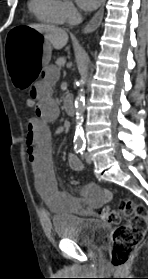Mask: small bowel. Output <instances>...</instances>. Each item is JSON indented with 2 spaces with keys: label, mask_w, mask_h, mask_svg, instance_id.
Returning a JSON list of instances; mask_svg holds the SVG:
<instances>
[{
  "label": "small bowel",
  "mask_w": 148,
  "mask_h": 279,
  "mask_svg": "<svg viewBox=\"0 0 148 279\" xmlns=\"http://www.w3.org/2000/svg\"><path fill=\"white\" fill-rule=\"evenodd\" d=\"M59 77L55 67L49 66L41 71L40 80L31 87L30 95L36 99L34 116L27 126L26 149L35 175L37 190L44 197L51 210L56 213L71 214L76 211L80 201L92 208H97L112 199L110 190L102 189L95 184L86 185L81 198H76L58 188L54 174L51 137L48 123L59 115V107L52 97V87ZM69 167L74 171H82V162L73 154L67 155ZM77 184V181H73Z\"/></svg>",
  "instance_id": "1"
}]
</instances>
